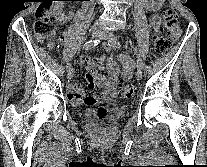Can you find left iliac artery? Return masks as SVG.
Instances as JSON below:
<instances>
[{"mask_svg":"<svg viewBox=\"0 0 207 167\" xmlns=\"http://www.w3.org/2000/svg\"><path fill=\"white\" fill-rule=\"evenodd\" d=\"M118 38H119V36L112 40V46L114 48L120 47V43L118 42ZM135 51H136V54H137V67L143 69L144 68V63H143L142 59L140 58V55L137 53L136 49H135Z\"/></svg>","mask_w":207,"mask_h":167,"instance_id":"obj_1","label":"left iliac artery"}]
</instances>
